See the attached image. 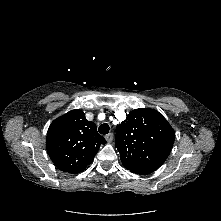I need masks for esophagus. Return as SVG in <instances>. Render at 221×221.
<instances>
[{
	"label": "esophagus",
	"instance_id": "34e87169",
	"mask_svg": "<svg viewBox=\"0 0 221 221\" xmlns=\"http://www.w3.org/2000/svg\"><path fill=\"white\" fill-rule=\"evenodd\" d=\"M105 139L108 143H111L113 140V133H108L107 135H105Z\"/></svg>",
	"mask_w": 221,
	"mask_h": 221
}]
</instances>
